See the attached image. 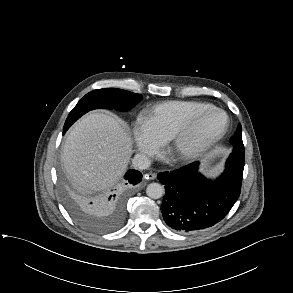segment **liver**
<instances>
[{
	"label": "liver",
	"instance_id": "obj_1",
	"mask_svg": "<svg viewBox=\"0 0 293 293\" xmlns=\"http://www.w3.org/2000/svg\"><path fill=\"white\" fill-rule=\"evenodd\" d=\"M131 155L132 140L124 123L94 112L81 118L68 134L62 161L75 187L96 192L123 176Z\"/></svg>",
	"mask_w": 293,
	"mask_h": 293
}]
</instances>
